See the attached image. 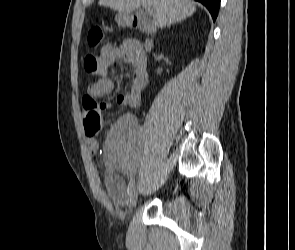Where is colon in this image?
<instances>
[{
    "label": "colon",
    "mask_w": 295,
    "mask_h": 250,
    "mask_svg": "<svg viewBox=\"0 0 295 250\" xmlns=\"http://www.w3.org/2000/svg\"><path fill=\"white\" fill-rule=\"evenodd\" d=\"M103 37L99 28H93L88 36L90 45H98ZM83 66L86 73L97 75L100 69L99 58L93 54H87L83 60ZM103 109L90 96L83 98V124L87 136L93 137L103 128Z\"/></svg>",
    "instance_id": "obj_1"
}]
</instances>
